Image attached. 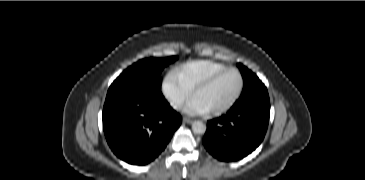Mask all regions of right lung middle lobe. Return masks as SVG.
<instances>
[{
    "label": "right lung middle lobe",
    "mask_w": 365,
    "mask_h": 180,
    "mask_svg": "<svg viewBox=\"0 0 365 180\" xmlns=\"http://www.w3.org/2000/svg\"><path fill=\"white\" fill-rule=\"evenodd\" d=\"M177 59V56H171L138 61L117 77L109 87L107 96L120 93L130 88L151 87L161 89V71L165 66Z\"/></svg>",
    "instance_id": "right-lung-middle-lobe-1"
}]
</instances>
